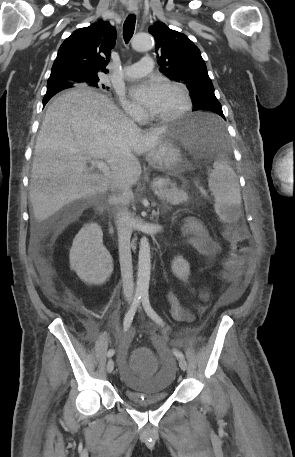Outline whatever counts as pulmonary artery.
Wrapping results in <instances>:
<instances>
[{"label": "pulmonary artery", "mask_w": 295, "mask_h": 457, "mask_svg": "<svg viewBox=\"0 0 295 457\" xmlns=\"http://www.w3.org/2000/svg\"><path fill=\"white\" fill-rule=\"evenodd\" d=\"M153 67V59L150 56H144L139 62L124 67L122 73L125 78L132 79L149 74Z\"/></svg>", "instance_id": "e3ab8cb5"}]
</instances>
